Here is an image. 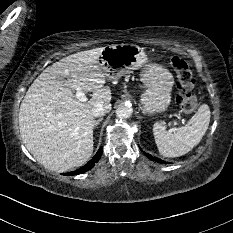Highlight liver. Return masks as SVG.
Segmentation results:
<instances>
[{
  "label": "liver",
  "mask_w": 233,
  "mask_h": 233,
  "mask_svg": "<svg viewBox=\"0 0 233 233\" xmlns=\"http://www.w3.org/2000/svg\"><path fill=\"white\" fill-rule=\"evenodd\" d=\"M104 47L77 52L48 66L20 105L19 127L27 150L45 168L65 172L85 164L93 153L92 108L110 102L106 75L99 64ZM93 91L81 102L73 86Z\"/></svg>",
  "instance_id": "1"
}]
</instances>
